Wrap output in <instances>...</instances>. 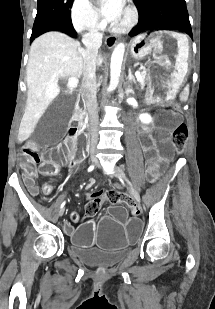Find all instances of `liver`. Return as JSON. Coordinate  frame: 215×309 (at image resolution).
<instances>
[{"label": "liver", "mask_w": 215, "mask_h": 309, "mask_svg": "<svg viewBox=\"0 0 215 309\" xmlns=\"http://www.w3.org/2000/svg\"><path fill=\"white\" fill-rule=\"evenodd\" d=\"M84 48L64 32H44L31 44L27 64V106L18 132V140H26L40 116L60 92L59 78H80L83 72ZM103 62L102 54L96 60Z\"/></svg>", "instance_id": "1"}]
</instances>
